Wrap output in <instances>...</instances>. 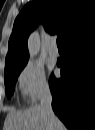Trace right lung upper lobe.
<instances>
[{
	"instance_id": "right-lung-upper-lobe-1",
	"label": "right lung upper lobe",
	"mask_w": 95,
	"mask_h": 130,
	"mask_svg": "<svg viewBox=\"0 0 95 130\" xmlns=\"http://www.w3.org/2000/svg\"><path fill=\"white\" fill-rule=\"evenodd\" d=\"M39 22L50 34L60 33L65 44L95 27V1L41 0L24 6L14 22L5 70L26 65L27 39Z\"/></svg>"
}]
</instances>
